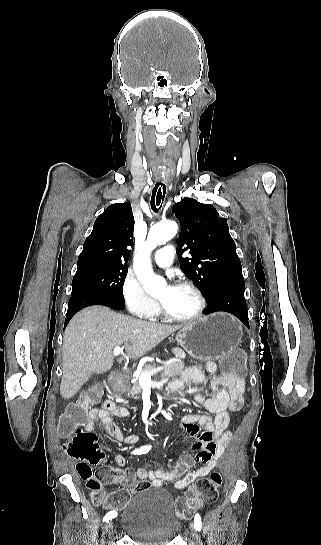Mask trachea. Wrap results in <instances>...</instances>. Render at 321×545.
<instances>
[{"mask_svg":"<svg viewBox=\"0 0 321 545\" xmlns=\"http://www.w3.org/2000/svg\"><path fill=\"white\" fill-rule=\"evenodd\" d=\"M162 163L160 164L162 167L165 165L164 162L166 161L164 158L161 160ZM152 197H151V208L154 212H156L159 207L162 205V202L165 197L166 193V176L164 174H155L153 176V182H152Z\"/></svg>","mask_w":321,"mask_h":545,"instance_id":"obj_1","label":"trachea"}]
</instances>
